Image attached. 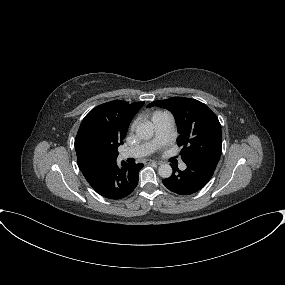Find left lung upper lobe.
I'll list each match as a JSON object with an SVG mask.
<instances>
[{
	"instance_id": "1",
	"label": "left lung upper lobe",
	"mask_w": 285,
	"mask_h": 285,
	"mask_svg": "<svg viewBox=\"0 0 285 285\" xmlns=\"http://www.w3.org/2000/svg\"><path fill=\"white\" fill-rule=\"evenodd\" d=\"M152 106L165 108L174 115L179 133L177 144L183 146L184 162L200 157L220 158L221 125L207 105L195 99L173 97L154 101L147 107Z\"/></svg>"
}]
</instances>
